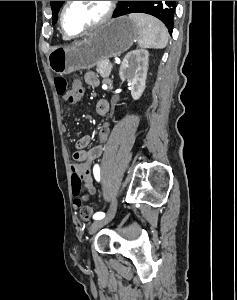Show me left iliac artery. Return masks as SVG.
<instances>
[{
  "instance_id": "1",
  "label": "left iliac artery",
  "mask_w": 237,
  "mask_h": 300,
  "mask_svg": "<svg viewBox=\"0 0 237 300\" xmlns=\"http://www.w3.org/2000/svg\"><path fill=\"white\" fill-rule=\"evenodd\" d=\"M93 173H94V177L97 181H100V168L98 165H95L94 168H93ZM105 217V213L103 212H97L94 214L93 218L95 220H100L102 218Z\"/></svg>"
}]
</instances>
